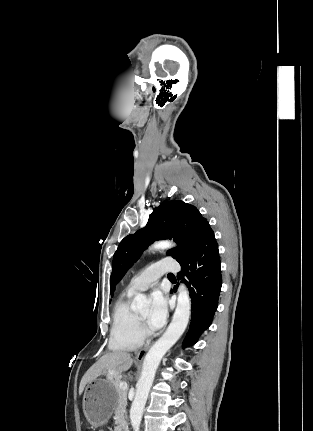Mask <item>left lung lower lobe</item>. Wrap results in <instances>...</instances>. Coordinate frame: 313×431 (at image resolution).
Wrapping results in <instances>:
<instances>
[{"label":"left lung lower lobe","instance_id":"left-lung-lower-lobe-1","mask_svg":"<svg viewBox=\"0 0 313 431\" xmlns=\"http://www.w3.org/2000/svg\"><path fill=\"white\" fill-rule=\"evenodd\" d=\"M180 265L178 277L186 275L188 278L186 284L192 303L191 323L183 341L184 348L194 345L201 333L211 325L218 306L222 285L220 257L210 226L203 231L193 252Z\"/></svg>","mask_w":313,"mask_h":431}]
</instances>
